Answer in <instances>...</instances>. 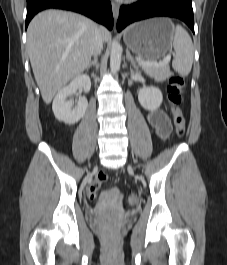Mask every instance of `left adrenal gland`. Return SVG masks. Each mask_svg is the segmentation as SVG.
<instances>
[{
	"label": "left adrenal gland",
	"instance_id": "1",
	"mask_svg": "<svg viewBox=\"0 0 227 265\" xmlns=\"http://www.w3.org/2000/svg\"><path fill=\"white\" fill-rule=\"evenodd\" d=\"M126 58L128 61L131 62V65L133 66L134 69H137V64L136 61L134 60L133 56L130 54L129 50L126 49Z\"/></svg>",
	"mask_w": 227,
	"mask_h": 265
}]
</instances>
